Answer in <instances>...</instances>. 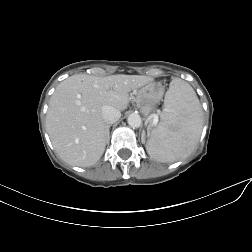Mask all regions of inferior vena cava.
<instances>
[{
	"label": "inferior vena cava",
	"instance_id": "obj_1",
	"mask_svg": "<svg viewBox=\"0 0 252 252\" xmlns=\"http://www.w3.org/2000/svg\"><path fill=\"white\" fill-rule=\"evenodd\" d=\"M102 117L106 124H113L121 117V112L109 105L102 107Z\"/></svg>",
	"mask_w": 252,
	"mask_h": 252
}]
</instances>
